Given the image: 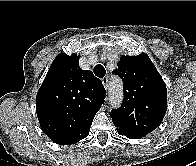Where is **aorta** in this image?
<instances>
[{"label":"aorta","instance_id":"762f6f07","mask_svg":"<svg viewBox=\"0 0 196 166\" xmlns=\"http://www.w3.org/2000/svg\"><path fill=\"white\" fill-rule=\"evenodd\" d=\"M110 100L112 106H119L122 101V86L120 83L112 85L110 89Z\"/></svg>","mask_w":196,"mask_h":166}]
</instances>
